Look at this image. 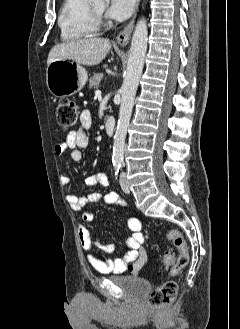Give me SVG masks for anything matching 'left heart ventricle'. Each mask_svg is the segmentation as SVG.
Listing matches in <instances>:
<instances>
[{
	"mask_svg": "<svg viewBox=\"0 0 240 329\" xmlns=\"http://www.w3.org/2000/svg\"><path fill=\"white\" fill-rule=\"evenodd\" d=\"M94 7H95L98 11H100V12H103L104 9H105V6H104V5H95Z\"/></svg>",
	"mask_w": 240,
	"mask_h": 329,
	"instance_id": "obj_1",
	"label": "left heart ventricle"
}]
</instances>
